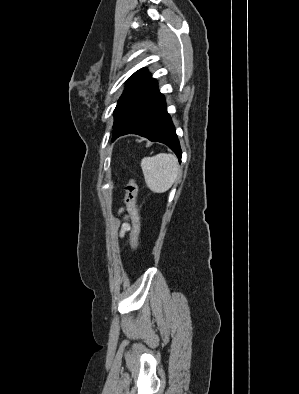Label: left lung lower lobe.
Here are the masks:
<instances>
[{
	"label": "left lung lower lobe",
	"instance_id": "0a47b994",
	"mask_svg": "<svg viewBox=\"0 0 299 394\" xmlns=\"http://www.w3.org/2000/svg\"><path fill=\"white\" fill-rule=\"evenodd\" d=\"M138 134L153 142L166 144L181 161V149L175 127L167 113L164 96L157 82L152 83L114 126L112 141L122 135Z\"/></svg>",
	"mask_w": 299,
	"mask_h": 394
}]
</instances>
